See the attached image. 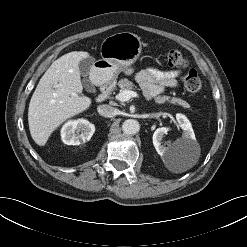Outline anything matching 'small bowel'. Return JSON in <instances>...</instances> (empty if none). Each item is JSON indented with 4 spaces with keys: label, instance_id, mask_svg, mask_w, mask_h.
Segmentation results:
<instances>
[{
    "label": "small bowel",
    "instance_id": "obj_1",
    "mask_svg": "<svg viewBox=\"0 0 247 247\" xmlns=\"http://www.w3.org/2000/svg\"><path fill=\"white\" fill-rule=\"evenodd\" d=\"M180 73L176 70H162L148 68L136 74V80L140 84L145 96L152 99L162 93L165 88H173L178 84Z\"/></svg>",
    "mask_w": 247,
    "mask_h": 247
}]
</instances>
